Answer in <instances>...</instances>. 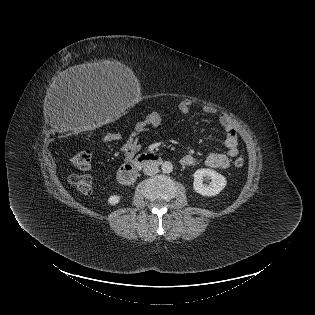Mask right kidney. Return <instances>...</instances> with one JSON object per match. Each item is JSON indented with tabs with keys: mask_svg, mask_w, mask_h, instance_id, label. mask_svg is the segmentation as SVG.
Instances as JSON below:
<instances>
[{
	"mask_svg": "<svg viewBox=\"0 0 315 315\" xmlns=\"http://www.w3.org/2000/svg\"><path fill=\"white\" fill-rule=\"evenodd\" d=\"M120 200H121V196H119V195H111L108 198V204L114 206V205L118 204L120 202Z\"/></svg>",
	"mask_w": 315,
	"mask_h": 315,
	"instance_id": "1",
	"label": "right kidney"
}]
</instances>
